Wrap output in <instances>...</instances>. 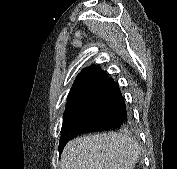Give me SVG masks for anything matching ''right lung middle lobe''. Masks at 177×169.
I'll list each match as a JSON object with an SVG mask.
<instances>
[{"label": "right lung middle lobe", "mask_w": 177, "mask_h": 169, "mask_svg": "<svg viewBox=\"0 0 177 169\" xmlns=\"http://www.w3.org/2000/svg\"><path fill=\"white\" fill-rule=\"evenodd\" d=\"M88 101L89 96L87 91L68 97L63 122L75 117L88 103Z\"/></svg>", "instance_id": "obj_1"}]
</instances>
